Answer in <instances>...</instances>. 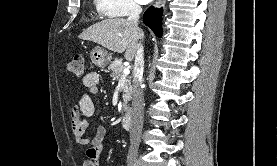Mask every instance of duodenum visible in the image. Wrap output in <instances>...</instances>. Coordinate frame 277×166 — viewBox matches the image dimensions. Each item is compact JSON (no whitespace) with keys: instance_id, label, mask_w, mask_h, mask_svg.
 I'll return each mask as SVG.
<instances>
[{"instance_id":"obj_1","label":"duodenum","mask_w":277,"mask_h":166,"mask_svg":"<svg viewBox=\"0 0 277 166\" xmlns=\"http://www.w3.org/2000/svg\"><path fill=\"white\" fill-rule=\"evenodd\" d=\"M122 127L125 130H131L132 129V125H133V120H132V116L130 114H126L123 116L122 118Z\"/></svg>"}]
</instances>
